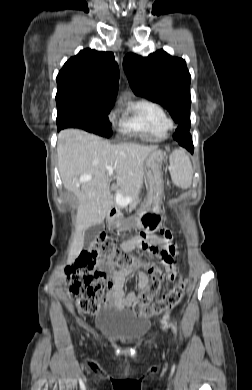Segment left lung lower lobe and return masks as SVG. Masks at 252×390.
<instances>
[{
    "instance_id": "1",
    "label": "left lung lower lobe",
    "mask_w": 252,
    "mask_h": 390,
    "mask_svg": "<svg viewBox=\"0 0 252 390\" xmlns=\"http://www.w3.org/2000/svg\"><path fill=\"white\" fill-rule=\"evenodd\" d=\"M190 127H184L181 126L175 133L174 139L178 141V143L182 146L185 147L188 151L193 153L194 147L192 143V137L190 136L189 133Z\"/></svg>"
}]
</instances>
